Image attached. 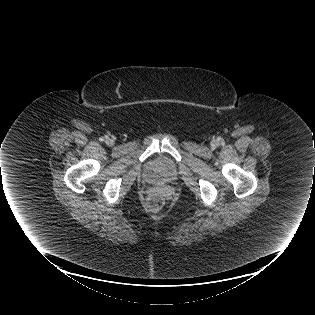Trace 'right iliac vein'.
Listing matches in <instances>:
<instances>
[{"mask_svg":"<svg viewBox=\"0 0 315 315\" xmlns=\"http://www.w3.org/2000/svg\"><path fill=\"white\" fill-rule=\"evenodd\" d=\"M107 142H108V144H110V145L113 144V140H112V139H108Z\"/></svg>","mask_w":315,"mask_h":315,"instance_id":"1","label":"right iliac vein"}]
</instances>
